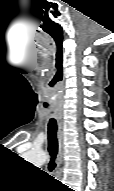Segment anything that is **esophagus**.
<instances>
[{"label":"esophagus","instance_id":"obj_1","mask_svg":"<svg viewBox=\"0 0 114 191\" xmlns=\"http://www.w3.org/2000/svg\"><path fill=\"white\" fill-rule=\"evenodd\" d=\"M58 142H59V152H58L57 165L58 167H60L63 161V142H64L63 119L61 113L58 114Z\"/></svg>","mask_w":114,"mask_h":191}]
</instances>
